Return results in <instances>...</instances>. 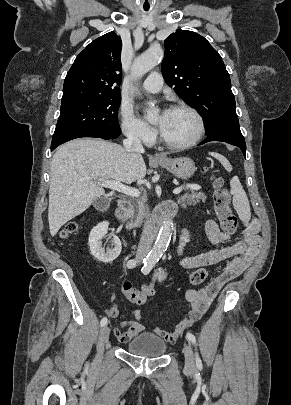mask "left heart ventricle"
<instances>
[{
  "label": "left heart ventricle",
  "instance_id": "obj_1",
  "mask_svg": "<svg viewBox=\"0 0 291 405\" xmlns=\"http://www.w3.org/2000/svg\"><path fill=\"white\" fill-rule=\"evenodd\" d=\"M160 130L168 141L184 143L195 136L197 121L186 110H169Z\"/></svg>",
  "mask_w": 291,
  "mask_h": 405
}]
</instances>
